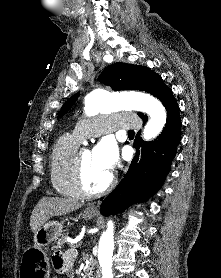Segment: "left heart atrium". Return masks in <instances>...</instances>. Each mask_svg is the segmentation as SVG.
<instances>
[{
    "label": "left heart atrium",
    "mask_w": 221,
    "mask_h": 278,
    "mask_svg": "<svg viewBox=\"0 0 221 278\" xmlns=\"http://www.w3.org/2000/svg\"><path fill=\"white\" fill-rule=\"evenodd\" d=\"M94 160L105 170L111 171L117 161V150L113 142L104 140L92 151Z\"/></svg>",
    "instance_id": "39dd6f15"
}]
</instances>
